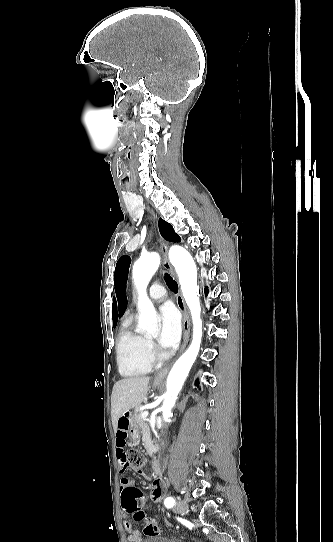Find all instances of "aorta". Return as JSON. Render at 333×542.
Masks as SVG:
<instances>
[{"label":"aorta","instance_id":"762f6f07","mask_svg":"<svg viewBox=\"0 0 333 542\" xmlns=\"http://www.w3.org/2000/svg\"><path fill=\"white\" fill-rule=\"evenodd\" d=\"M170 254L173 266L178 274L183 298L191 312L193 324L192 342L186 352L178 358L170 370L166 382L167 392L162 404L161 412L164 422L171 418V410L175 406L177 396L199 354L202 342L201 306L197 296V268L189 252L181 246H172ZM160 266V256L156 252L141 256L133 266V278L138 288L139 332H156L158 318L157 312L146 294V286Z\"/></svg>","mask_w":333,"mask_h":542}]
</instances>
